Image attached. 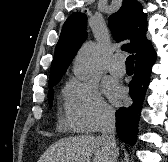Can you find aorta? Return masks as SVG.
<instances>
[{
  "instance_id": "1",
  "label": "aorta",
  "mask_w": 168,
  "mask_h": 162,
  "mask_svg": "<svg viewBox=\"0 0 168 162\" xmlns=\"http://www.w3.org/2000/svg\"><path fill=\"white\" fill-rule=\"evenodd\" d=\"M99 56L100 52L95 43H85L78 51L75 59V76L80 80L89 79L97 66Z\"/></svg>"
}]
</instances>
